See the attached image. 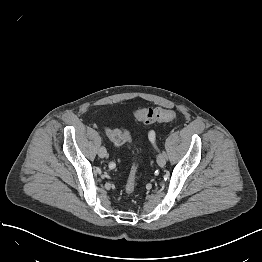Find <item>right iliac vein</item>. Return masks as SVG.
<instances>
[{
	"mask_svg": "<svg viewBox=\"0 0 262 262\" xmlns=\"http://www.w3.org/2000/svg\"><path fill=\"white\" fill-rule=\"evenodd\" d=\"M98 155L100 158H104L107 155V150L104 146H101L98 150Z\"/></svg>",
	"mask_w": 262,
	"mask_h": 262,
	"instance_id": "obj_1",
	"label": "right iliac vein"
}]
</instances>
